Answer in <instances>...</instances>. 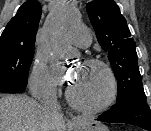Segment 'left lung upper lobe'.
I'll return each instance as SVG.
<instances>
[{
  "label": "left lung upper lobe",
  "mask_w": 151,
  "mask_h": 131,
  "mask_svg": "<svg viewBox=\"0 0 151 131\" xmlns=\"http://www.w3.org/2000/svg\"><path fill=\"white\" fill-rule=\"evenodd\" d=\"M98 42L108 51L117 78V103L132 94L144 93L135 42L125 18L113 0H94L86 5Z\"/></svg>",
  "instance_id": "1"
}]
</instances>
